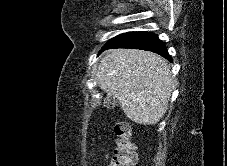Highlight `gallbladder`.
Wrapping results in <instances>:
<instances>
[{
	"label": "gallbladder",
	"instance_id": "bac80fb5",
	"mask_svg": "<svg viewBox=\"0 0 227 166\" xmlns=\"http://www.w3.org/2000/svg\"><path fill=\"white\" fill-rule=\"evenodd\" d=\"M116 103V100L110 94H107V97L104 99V105L107 108H114Z\"/></svg>",
	"mask_w": 227,
	"mask_h": 166
}]
</instances>
